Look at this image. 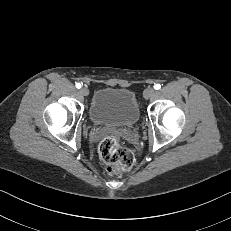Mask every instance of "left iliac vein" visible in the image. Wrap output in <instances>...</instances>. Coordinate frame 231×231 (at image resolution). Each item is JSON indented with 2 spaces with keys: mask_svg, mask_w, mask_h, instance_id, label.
<instances>
[{
  "mask_svg": "<svg viewBox=\"0 0 231 231\" xmlns=\"http://www.w3.org/2000/svg\"><path fill=\"white\" fill-rule=\"evenodd\" d=\"M156 91L152 87H148L144 90L143 96L145 99H149L155 95Z\"/></svg>",
  "mask_w": 231,
  "mask_h": 231,
  "instance_id": "4c4485c4",
  "label": "left iliac vein"
}]
</instances>
